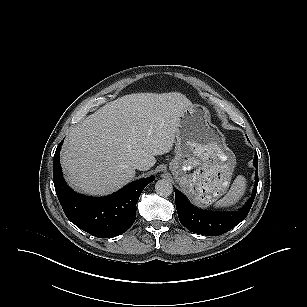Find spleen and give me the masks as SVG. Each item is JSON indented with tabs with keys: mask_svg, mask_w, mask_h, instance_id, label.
<instances>
[{
	"mask_svg": "<svg viewBox=\"0 0 307 307\" xmlns=\"http://www.w3.org/2000/svg\"><path fill=\"white\" fill-rule=\"evenodd\" d=\"M246 190V179L242 175H238L234 180L230 190L227 194L220 200H218L214 206L219 207H228L236 204L239 199L244 195Z\"/></svg>",
	"mask_w": 307,
	"mask_h": 307,
	"instance_id": "spleen-1",
	"label": "spleen"
}]
</instances>
